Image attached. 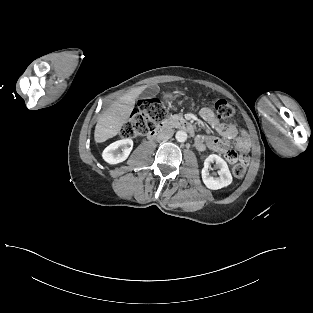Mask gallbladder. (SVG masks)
<instances>
[{"instance_id":"obj_1","label":"gallbladder","mask_w":313,"mask_h":313,"mask_svg":"<svg viewBox=\"0 0 313 313\" xmlns=\"http://www.w3.org/2000/svg\"><path fill=\"white\" fill-rule=\"evenodd\" d=\"M158 90V88L156 86H151L149 88L146 89V92L148 95H152L154 94L156 91Z\"/></svg>"}]
</instances>
